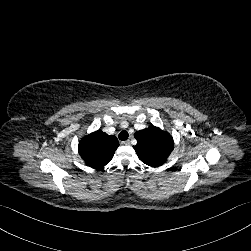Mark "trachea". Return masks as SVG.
Returning a JSON list of instances; mask_svg holds the SVG:
<instances>
[{"mask_svg":"<svg viewBox=\"0 0 251 251\" xmlns=\"http://www.w3.org/2000/svg\"><path fill=\"white\" fill-rule=\"evenodd\" d=\"M119 140L125 141L128 138V132L127 131H121L119 134Z\"/></svg>","mask_w":251,"mask_h":251,"instance_id":"3493384b","label":"trachea"}]
</instances>
